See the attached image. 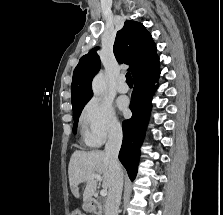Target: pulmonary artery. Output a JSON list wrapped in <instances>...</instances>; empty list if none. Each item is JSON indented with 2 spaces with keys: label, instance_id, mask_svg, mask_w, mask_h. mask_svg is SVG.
Returning <instances> with one entry per match:
<instances>
[{
  "label": "pulmonary artery",
  "instance_id": "1",
  "mask_svg": "<svg viewBox=\"0 0 223 215\" xmlns=\"http://www.w3.org/2000/svg\"><path fill=\"white\" fill-rule=\"evenodd\" d=\"M116 88L118 90V92L120 93H126L129 90V86L126 83L125 77L124 76H120L117 80L116 83Z\"/></svg>",
  "mask_w": 223,
  "mask_h": 215
}]
</instances>
